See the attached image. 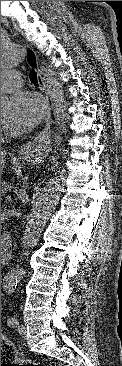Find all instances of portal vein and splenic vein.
Segmentation results:
<instances>
[{"label":"portal vein and splenic vein","mask_w":122,"mask_h":366,"mask_svg":"<svg viewBox=\"0 0 122 366\" xmlns=\"http://www.w3.org/2000/svg\"><path fill=\"white\" fill-rule=\"evenodd\" d=\"M6 200H9V199H11V196H6V198H5Z\"/></svg>","instance_id":"1"}]
</instances>
